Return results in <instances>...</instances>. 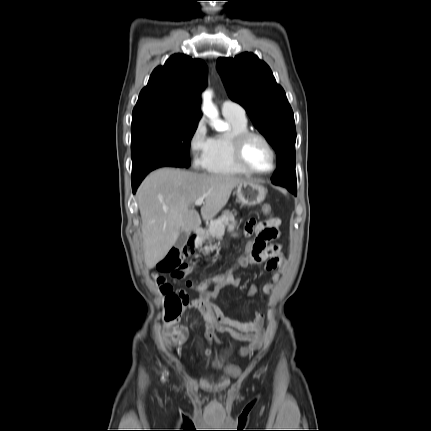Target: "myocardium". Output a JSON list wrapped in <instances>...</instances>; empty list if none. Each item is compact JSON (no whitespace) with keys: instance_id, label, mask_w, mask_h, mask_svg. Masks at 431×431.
Listing matches in <instances>:
<instances>
[{"instance_id":"f54148a6","label":"myocardium","mask_w":431,"mask_h":431,"mask_svg":"<svg viewBox=\"0 0 431 431\" xmlns=\"http://www.w3.org/2000/svg\"><path fill=\"white\" fill-rule=\"evenodd\" d=\"M257 138L261 140L269 149L272 156V166L270 169L265 171L256 170L250 167L245 158H244V148L247 142L252 139ZM232 155L235 163L245 172L256 175H266L272 173L277 166V154L276 151L271 144V142L261 133L253 132V131H245L237 134L232 140Z\"/></svg>"}]
</instances>
